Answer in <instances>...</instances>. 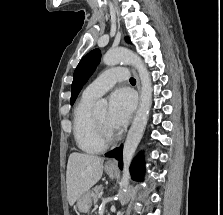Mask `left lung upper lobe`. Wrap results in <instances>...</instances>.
I'll return each instance as SVG.
<instances>
[{
    "label": "left lung upper lobe",
    "instance_id": "obj_1",
    "mask_svg": "<svg viewBox=\"0 0 223 215\" xmlns=\"http://www.w3.org/2000/svg\"><path fill=\"white\" fill-rule=\"evenodd\" d=\"M126 40L129 41V38L127 37ZM100 58V51L98 49H95L85 55L79 62L73 75V83L71 88L72 95L70 99L71 104L75 102L83 85L95 71L97 65L100 62Z\"/></svg>",
    "mask_w": 223,
    "mask_h": 215
}]
</instances>
